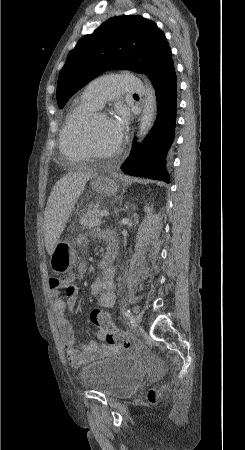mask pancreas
<instances>
[{
    "label": "pancreas",
    "instance_id": "cf45deb5",
    "mask_svg": "<svg viewBox=\"0 0 245 450\" xmlns=\"http://www.w3.org/2000/svg\"><path fill=\"white\" fill-rule=\"evenodd\" d=\"M99 209L93 205H90L85 214L80 218L79 223L86 228H93L100 226L102 221L99 216Z\"/></svg>",
    "mask_w": 245,
    "mask_h": 450
}]
</instances>
